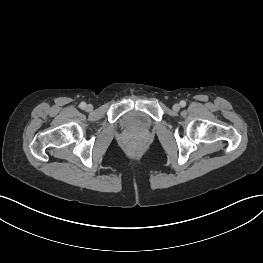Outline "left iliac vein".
Instances as JSON below:
<instances>
[{
  "label": "left iliac vein",
  "mask_w": 263,
  "mask_h": 263,
  "mask_svg": "<svg viewBox=\"0 0 263 263\" xmlns=\"http://www.w3.org/2000/svg\"><path fill=\"white\" fill-rule=\"evenodd\" d=\"M173 110L176 111V112L179 111L180 110V105L179 104H174L173 105Z\"/></svg>",
  "instance_id": "obj_1"
}]
</instances>
